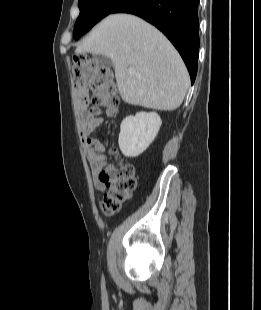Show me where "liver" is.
Returning a JSON list of instances; mask_svg holds the SVG:
<instances>
[{"mask_svg": "<svg viewBox=\"0 0 261 310\" xmlns=\"http://www.w3.org/2000/svg\"><path fill=\"white\" fill-rule=\"evenodd\" d=\"M75 53L109 57L120 96L132 105L172 111L181 105L189 88L188 71L173 45L158 29L134 15H109ZM129 68L135 73H129Z\"/></svg>", "mask_w": 261, "mask_h": 310, "instance_id": "1", "label": "liver"}]
</instances>
